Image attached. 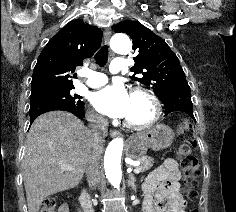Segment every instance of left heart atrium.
Wrapping results in <instances>:
<instances>
[{
	"label": "left heart atrium",
	"mask_w": 236,
	"mask_h": 212,
	"mask_svg": "<svg viewBox=\"0 0 236 212\" xmlns=\"http://www.w3.org/2000/svg\"><path fill=\"white\" fill-rule=\"evenodd\" d=\"M94 107L102 114L113 118H126L131 104V95L122 84L108 85L91 97Z\"/></svg>",
	"instance_id": "1"
}]
</instances>
